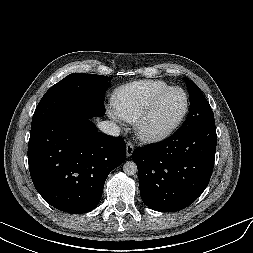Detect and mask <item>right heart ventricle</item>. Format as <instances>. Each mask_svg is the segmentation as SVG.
I'll return each instance as SVG.
<instances>
[{
	"mask_svg": "<svg viewBox=\"0 0 253 253\" xmlns=\"http://www.w3.org/2000/svg\"><path fill=\"white\" fill-rule=\"evenodd\" d=\"M170 85L161 80H140L121 87L114 99V109L119 117L134 123L144 112L150 101Z\"/></svg>",
	"mask_w": 253,
	"mask_h": 253,
	"instance_id": "1",
	"label": "right heart ventricle"
}]
</instances>
